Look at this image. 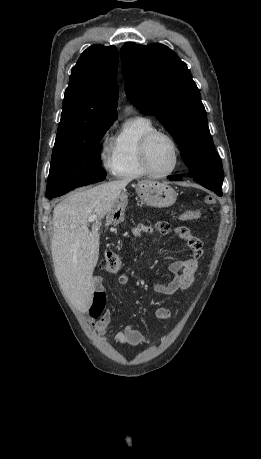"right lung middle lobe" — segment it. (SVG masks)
<instances>
[{"label":"right lung middle lobe","mask_w":261,"mask_h":459,"mask_svg":"<svg viewBox=\"0 0 261 459\" xmlns=\"http://www.w3.org/2000/svg\"><path fill=\"white\" fill-rule=\"evenodd\" d=\"M112 124H98L55 140L46 190L48 199L105 179L98 146Z\"/></svg>","instance_id":"right-lung-middle-lobe-1"}]
</instances>
